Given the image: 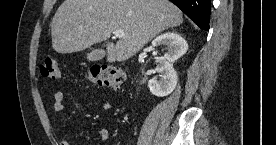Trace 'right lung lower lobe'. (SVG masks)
<instances>
[{
    "label": "right lung lower lobe",
    "instance_id": "obj_1",
    "mask_svg": "<svg viewBox=\"0 0 276 145\" xmlns=\"http://www.w3.org/2000/svg\"><path fill=\"white\" fill-rule=\"evenodd\" d=\"M201 29H209L211 0H170Z\"/></svg>",
    "mask_w": 276,
    "mask_h": 145
}]
</instances>
